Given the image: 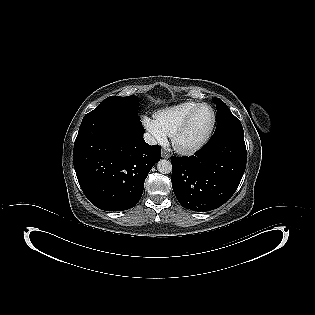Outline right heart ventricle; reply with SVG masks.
Instances as JSON below:
<instances>
[{"mask_svg": "<svg viewBox=\"0 0 315 315\" xmlns=\"http://www.w3.org/2000/svg\"><path fill=\"white\" fill-rule=\"evenodd\" d=\"M198 104H200V102L184 101L176 105L164 108L155 113V120L168 136H172L174 131L181 124L184 118Z\"/></svg>", "mask_w": 315, "mask_h": 315, "instance_id": "1", "label": "right heart ventricle"}]
</instances>
